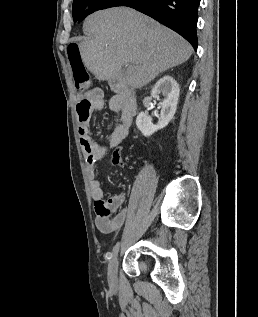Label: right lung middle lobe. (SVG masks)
I'll list each match as a JSON object with an SVG mask.
<instances>
[{
	"instance_id": "1",
	"label": "right lung middle lobe",
	"mask_w": 258,
	"mask_h": 317,
	"mask_svg": "<svg viewBox=\"0 0 258 317\" xmlns=\"http://www.w3.org/2000/svg\"><path fill=\"white\" fill-rule=\"evenodd\" d=\"M92 0H73V7H72V16L74 22H76L85 9L86 5L90 3Z\"/></svg>"
}]
</instances>
